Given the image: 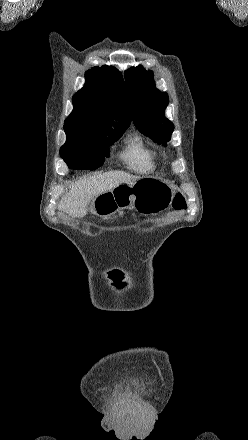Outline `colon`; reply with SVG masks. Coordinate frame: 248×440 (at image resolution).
Wrapping results in <instances>:
<instances>
[{"label":"colon","instance_id":"5ec220e1","mask_svg":"<svg viewBox=\"0 0 248 440\" xmlns=\"http://www.w3.org/2000/svg\"><path fill=\"white\" fill-rule=\"evenodd\" d=\"M172 206L174 210H183L186 208V200L181 193L175 195Z\"/></svg>","mask_w":248,"mask_h":440}]
</instances>
